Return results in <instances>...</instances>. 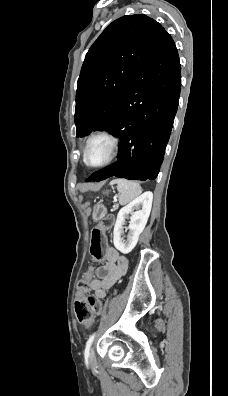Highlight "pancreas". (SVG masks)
<instances>
[{
  "mask_svg": "<svg viewBox=\"0 0 228 396\" xmlns=\"http://www.w3.org/2000/svg\"><path fill=\"white\" fill-rule=\"evenodd\" d=\"M118 209V204H115L114 206H113V210L115 211V210H117Z\"/></svg>",
  "mask_w": 228,
  "mask_h": 396,
  "instance_id": "obj_1",
  "label": "pancreas"
}]
</instances>
